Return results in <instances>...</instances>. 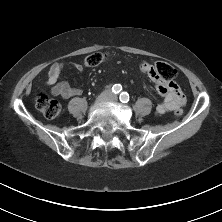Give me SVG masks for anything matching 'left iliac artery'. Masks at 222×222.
I'll return each instance as SVG.
<instances>
[{"mask_svg":"<svg viewBox=\"0 0 222 222\" xmlns=\"http://www.w3.org/2000/svg\"><path fill=\"white\" fill-rule=\"evenodd\" d=\"M119 98L122 103H127L129 101V94L127 92H122Z\"/></svg>","mask_w":222,"mask_h":222,"instance_id":"44dca946","label":"left iliac artery"}]
</instances>
